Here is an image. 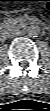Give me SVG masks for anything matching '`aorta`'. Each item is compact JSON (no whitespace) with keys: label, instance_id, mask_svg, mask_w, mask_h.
<instances>
[{"label":"aorta","instance_id":"obj_1","mask_svg":"<svg viewBox=\"0 0 50 111\" xmlns=\"http://www.w3.org/2000/svg\"><path fill=\"white\" fill-rule=\"evenodd\" d=\"M27 34L30 37H37L40 34V28L37 25H31L27 29Z\"/></svg>","mask_w":50,"mask_h":111}]
</instances>
